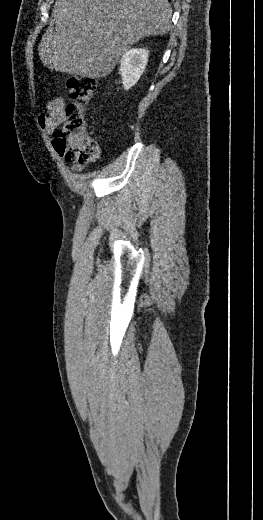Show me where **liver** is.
<instances>
[{
  "mask_svg": "<svg viewBox=\"0 0 263 520\" xmlns=\"http://www.w3.org/2000/svg\"><path fill=\"white\" fill-rule=\"evenodd\" d=\"M168 0H56L39 56L51 70L100 78L140 39L171 28Z\"/></svg>",
  "mask_w": 263,
  "mask_h": 520,
  "instance_id": "obj_1",
  "label": "liver"
}]
</instances>
